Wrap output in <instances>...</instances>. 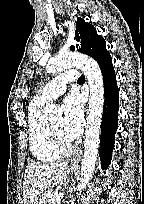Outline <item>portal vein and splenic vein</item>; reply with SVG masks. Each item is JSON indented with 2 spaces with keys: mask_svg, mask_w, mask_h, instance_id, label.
Returning a JSON list of instances; mask_svg holds the SVG:
<instances>
[{
  "mask_svg": "<svg viewBox=\"0 0 144 204\" xmlns=\"http://www.w3.org/2000/svg\"><path fill=\"white\" fill-rule=\"evenodd\" d=\"M64 193H57L55 196L51 197V200H60L63 197Z\"/></svg>",
  "mask_w": 144,
  "mask_h": 204,
  "instance_id": "obj_1",
  "label": "portal vein and splenic vein"
}]
</instances>
